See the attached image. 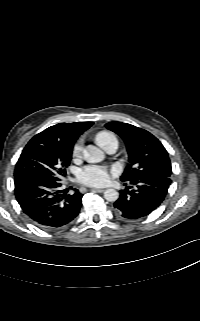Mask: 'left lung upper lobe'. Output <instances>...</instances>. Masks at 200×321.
I'll return each mask as SVG.
<instances>
[{"instance_id": "5c2ea615", "label": "left lung upper lobe", "mask_w": 200, "mask_h": 321, "mask_svg": "<svg viewBox=\"0 0 200 321\" xmlns=\"http://www.w3.org/2000/svg\"><path fill=\"white\" fill-rule=\"evenodd\" d=\"M106 127L120 135L127 145L130 164L121 176L122 181L149 176L170 177L172 169L168 153L152 134L121 122H110Z\"/></svg>"}]
</instances>
